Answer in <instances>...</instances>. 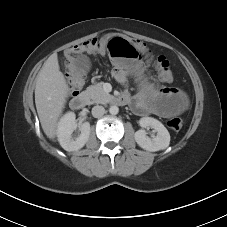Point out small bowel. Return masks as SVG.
I'll list each match as a JSON object with an SVG mask.
<instances>
[{"mask_svg": "<svg viewBox=\"0 0 227 227\" xmlns=\"http://www.w3.org/2000/svg\"><path fill=\"white\" fill-rule=\"evenodd\" d=\"M89 58L82 53L74 54L63 66V77L74 84L82 83L90 71ZM113 76L121 85H126L132 77L137 83V92L131 98L128 92L122 96L131 103L133 111L138 115L156 114L170 117L183 112L188 106L185 93L177 88H158L144 74L142 63L138 60L115 62Z\"/></svg>", "mask_w": 227, "mask_h": 227, "instance_id": "small-bowel-1", "label": "small bowel"}]
</instances>
